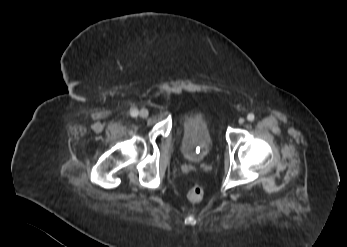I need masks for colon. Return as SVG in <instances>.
<instances>
[{
    "instance_id": "obj_1",
    "label": "colon",
    "mask_w": 347,
    "mask_h": 247,
    "mask_svg": "<svg viewBox=\"0 0 347 247\" xmlns=\"http://www.w3.org/2000/svg\"><path fill=\"white\" fill-rule=\"evenodd\" d=\"M187 197L191 202H200L204 197L202 186L195 184L187 192Z\"/></svg>"
}]
</instances>
